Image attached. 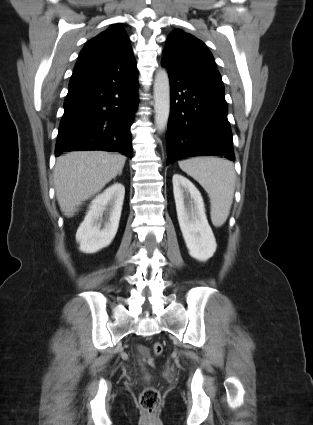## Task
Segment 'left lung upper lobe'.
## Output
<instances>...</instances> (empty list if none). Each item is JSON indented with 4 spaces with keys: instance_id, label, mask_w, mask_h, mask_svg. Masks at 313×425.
I'll use <instances>...</instances> for the list:
<instances>
[{
    "instance_id": "left-lung-upper-lobe-1",
    "label": "left lung upper lobe",
    "mask_w": 313,
    "mask_h": 425,
    "mask_svg": "<svg viewBox=\"0 0 313 425\" xmlns=\"http://www.w3.org/2000/svg\"><path fill=\"white\" fill-rule=\"evenodd\" d=\"M162 61L190 78L222 84L214 58L206 45L180 29L169 34Z\"/></svg>"
}]
</instances>
